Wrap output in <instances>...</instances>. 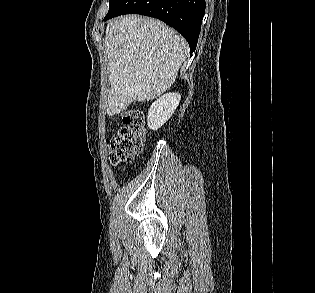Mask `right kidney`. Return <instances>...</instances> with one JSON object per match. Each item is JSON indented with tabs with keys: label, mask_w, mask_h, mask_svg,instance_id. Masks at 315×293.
<instances>
[{
	"label": "right kidney",
	"mask_w": 315,
	"mask_h": 293,
	"mask_svg": "<svg viewBox=\"0 0 315 293\" xmlns=\"http://www.w3.org/2000/svg\"><path fill=\"white\" fill-rule=\"evenodd\" d=\"M181 100L178 93H167L152 103L147 116V124L151 130L161 128L173 115Z\"/></svg>",
	"instance_id": "ca27d5eb"
}]
</instances>
